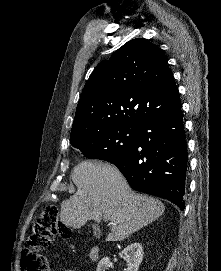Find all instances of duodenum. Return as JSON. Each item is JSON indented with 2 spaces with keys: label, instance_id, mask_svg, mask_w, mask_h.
Instances as JSON below:
<instances>
[{
  "label": "duodenum",
  "instance_id": "1",
  "mask_svg": "<svg viewBox=\"0 0 221 271\" xmlns=\"http://www.w3.org/2000/svg\"><path fill=\"white\" fill-rule=\"evenodd\" d=\"M90 258L93 260V261H96L98 260L99 258V248L98 247H94L91 252H90Z\"/></svg>",
  "mask_w": 221,
  "mask_h": 271
}]
</instances>
